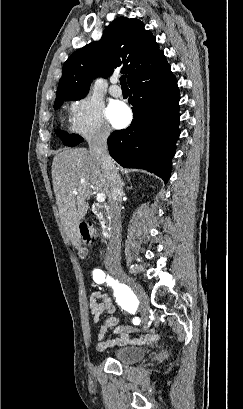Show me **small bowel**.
<instances>
[{
	"mask_svg": "<svg viewBox=\"0 0 243 409\" xmlns=\"http://www.w3.org/2000/svg\"><path fill=\"white\" fill-rule=\"evenodd\" d=\"M88 305L95 323L99 321L100 316L104 312L113 315L116 311L112 296L104 291L93 292L89 298ZM110 328H112L116 337L106 339V333ZM143 331L142 328L119 324V321L115 316H110L102 322L98 328L97 349L99 351H105L115 346H124L128 344L154 346L159 343L160 335L156 330L149 329L146 333H143ZM131 333L140 334L131 338L129 336Z\"/></svg>",
	"mask_w": 243,
	"mask_h": 409,
	"instance_id": "small-bowel-1",
	"label": "small bowel"
}]
</instances>
